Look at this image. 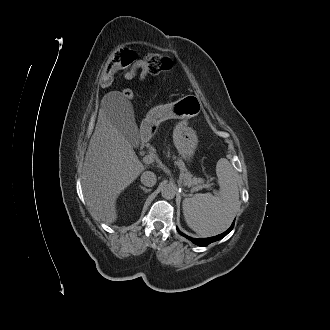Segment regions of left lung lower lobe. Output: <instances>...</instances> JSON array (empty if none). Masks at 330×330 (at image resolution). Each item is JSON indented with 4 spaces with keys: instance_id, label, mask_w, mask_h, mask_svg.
Here are the masks:
<instances>
[{
    "instance_id": "0a47b994",
    "label": "left lung lower lobe",
    "mask_w": 330,
    "mask_h": 330,
    "mask_svg": "<svg viewBox=\"0 0 330 330\" xmlns=\"http://www.w3.org/2000/svg\"><path fill=\"white\" fill-rule=\"evenodd\" d=\"M234 223L235 221L233 222V224L231 225V227L225 231L224 233L222 234H219L217 236H214V237H209V238H199V239H196V238H191L185 234H183L181 231H179V229L177 228V231L184 237H186L187 239H189L190 241H192L193 243H195L196 245H199V246H207L209 245L210 243L214 242V241H217V240H220L222 239L223 237H225L234 227Z\"/></svg>"
}]
</instances>
